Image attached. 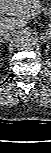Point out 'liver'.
<instances>
[{
    "instance_id": "obj_1",
    "label": "liver",
    "mask_w": 51,
    "mask_h": 153,
    "mask_svg": "<svg viewBox=\"0 0 51 153\" xmlns=\"http://www.w3.org/2000/svg\"><path fill=\"white\" fill-rule=\"evenodd\" d=\"M40 0H0V12L10 17L0 19L1 27L21 29L27 21L34 19L41 13Z\"/></svg>"
}]
</instances>
